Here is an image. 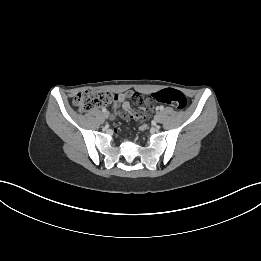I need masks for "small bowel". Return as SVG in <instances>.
<instances>
[{"mask_svg": "<svg viewBox=\"0 0 261 261\" xmlns=\"http://www.w3.org/2000/svg\"><path fill=\"white\" fill-rule=\"evenodd\" d=\"M128 100L133 101L136 104H146V107L140 111H133L130 107ZM119 102L125 115L137 120L146 118L149 112L152 110L153 104L155 103L154 97H144V95L138 92H126L119 94Z\"/></svg>", "mask_w": 261, "mask_h": 261, "instance_id": "obj_1", "label": "small bowel"}]
</instances>
